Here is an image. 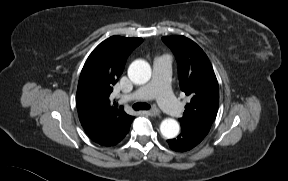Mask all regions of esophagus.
Wrapping results in <instances>:
<instances>
[{
  "label": "esophagus",
  "instance_id": "obj_1",
  "mask_svg": "<svg viewBox=\"0 0 288 181\" xmlns=\"http://www.w3.org/2000/svg\"><path fill=\"white\" fill-rule=\"evenodd\" d=\"M147 113H148L150 116H157V115H159L160 112H159V110H158L157 108H153V109L147 111Z\"/></svg>",
  "mask_w": 288,
  "mask_h": 181
}]
</instances>
